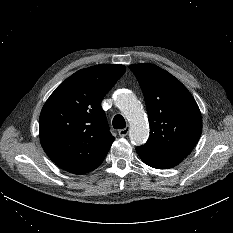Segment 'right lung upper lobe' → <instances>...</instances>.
<instances>
[{
  "instance_id": "obj_1",
  "label": "right lung upper lobe",
  "mask_w": 233,
  "mask_h": 233,
  "mask_svg": "<svg viewBox=\"0 0 233 233\" xmlns=\"http://www.w3.org/2000/svg\"><path fill=\"white\" fill-rule=\"evenodd\" d=\"M123 65H96L77 71L51 94L39 118L41 145L60 168L85 174L106 157L114 137L101 101L124 74Z\"/></svg>"
}]
</instances>
